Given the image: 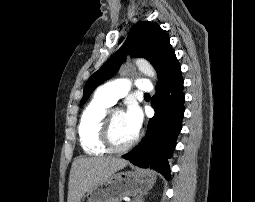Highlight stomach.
Here are the masks:
<instances>
[{
	"label": "stomach",
	"instance_id": "1",
	"mask_svg": "<svg viewBox=\"0 0 255 202\" xmlns=\"http://www.w3.org/2000/svg\"><path fill=\"white\" fill-rule=\"evenodd\" d=\"M117 173L121 174L120 178L116 177ZM117 173L112 174L105 180L112 181V186H102V183H100L88 189L85 195L87 202H120L125 196L147 193L155 183V177L149 171Z\"/></svg>",
	"mask_w": 255,
	"mask_h": 202
}]
</instances>
